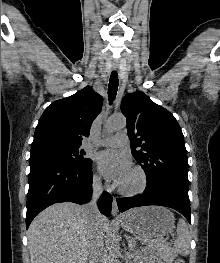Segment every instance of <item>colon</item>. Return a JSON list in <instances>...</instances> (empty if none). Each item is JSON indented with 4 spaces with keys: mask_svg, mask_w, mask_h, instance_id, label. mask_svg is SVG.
Listing matches in <instances>:
<instances>
[{
    "mask_svg": "<svg viewBox=\"0 0 220 263\" xmlns=\"http://www.w3.org/2000/svg\"><path fill=\"white\" fill-rule=\"evenodd\" d=\"M174 263H185V261L181 258H177Z\"/></svg>",
    "mask_w": 220,
    "mask_h": 263,
    "instance_id": "obj_1",
    "label": "colon"
}]
</instances>
